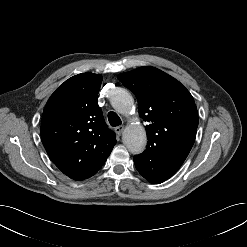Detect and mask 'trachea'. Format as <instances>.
Here are the masks:
<instances>
[{"instance_id":"1","label":"trachea","mask_w":247,"mask_h":247,"mask_svg":"<svg viewBox=\"0 0 247 247\" xmlns=\"http://www.w3.org/2000/svg\"><path fill=\"white\" fill-rule=\"evenodd\" d=\"M108 120L110 125L113 127L119 126L122 123L120 117L113 111L108 113Z\"/></svg>"}]
</instances>
